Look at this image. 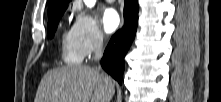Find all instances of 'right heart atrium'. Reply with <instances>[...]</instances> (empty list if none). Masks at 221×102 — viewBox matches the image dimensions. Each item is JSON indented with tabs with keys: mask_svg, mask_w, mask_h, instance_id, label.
I'll list each match as a JSON object with an SVG mask.
<instances>
[{
	"mask_svg": "<svg viewBox=\"0 0 221 102\" xmlns=\"http://www.w3.org/2000/svg\"><path fill=\"white\" fill-rule=\"evenodd\" d=\"M71 34L82 58L91 55L103 44V35L97 20L82 11L76 13Z\"/></svg>",
	"mask_w": 221,
	"mask_h": 102,
	"instance_id": "1",
	"label": "right heart atrium"
}]
</instances>
